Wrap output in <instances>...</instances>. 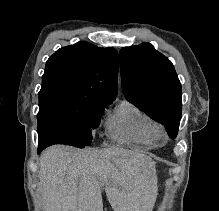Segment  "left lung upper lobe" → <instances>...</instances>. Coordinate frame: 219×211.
Returning a JSON list of instances; mask_svg holds the SVG:
<instances>
[{"instance_id":"obj_1","label":"left lung upper lobe","mask_w":219,"mask_h":211,"mask_svg":"<svg viewBox=\"0 0 219 211\" xmlns=\"http://www.w3.org/2000/svg\"><path fill=\"white\" fill-rule=\"evenodd\" d=\"M120 70L126 99L163 124L175 139L182 110L181 84L171 61L149 43L120 50Z\"/></svg>"}]
</instances>
